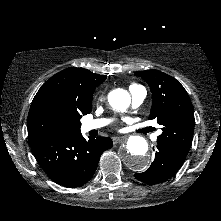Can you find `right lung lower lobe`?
Instances as JSON below:
<instances>
[{"label":"right lung lower lobe","mask_w":221,"mask_h":221,"mask_svg":"<svg viewBox=\"0 0 221 221\" xmlns=\"http://www.w3.org/2000/svg\"><path fill=\"white\" fill-rule=\"evenodd\" d=\"M112 145L109 137L86 140L80 131L30 143L45 173L66 187H79L88 182L96 171L101 154Z\"/></svg>","instance_id":"right-lung-lower-lobe-1"}]
</instances>
